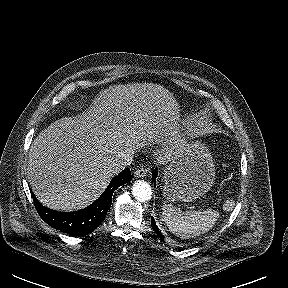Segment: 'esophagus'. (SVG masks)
<instances>
[{
	"instance_id": "1",
	"label": "esophagus",
	"mask_w": 288,
	"mask_h": 288,
	"mask_svg": "<svg viewBox=\"0 0 288 288\" xmlns=\"http://www.w3.org/2000/svg\"><path fill=\"white\" fill-rule=\"evenodd\" d=\"M148 170L146 168H139L134 172V176L137 178H143L147 175Z\"/></svg>"
}]
</instances>
